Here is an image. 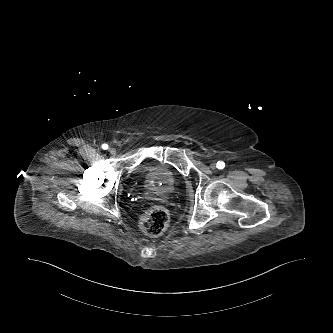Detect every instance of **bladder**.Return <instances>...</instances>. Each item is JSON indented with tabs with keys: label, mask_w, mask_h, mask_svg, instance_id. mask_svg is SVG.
<instances>
[{
	"label": "bladder",
	"mask_w": 333,
	"mask_h": 333,
	"mask_svg": "<svg viewBox=\"0 0 333 333\" xmlns=\"http://www.w3.org/2000/svg\"><path fill=\"white\" fill-rule=\"evenodd\" d=\"M137 173L142 176L145 188L157 195L172 194L180 184L176 172L162 163L142 166Z\"/></svg>",
	"instance_id": "1"
}]
</instances>
